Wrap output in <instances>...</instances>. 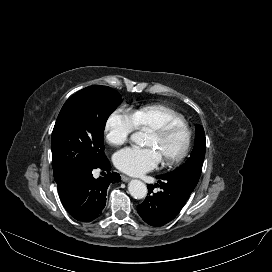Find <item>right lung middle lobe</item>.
Here are the masks:
<instances>
[{"instance_id": "obj_1", "label": "right lung middle lobe", "mask_w": 272, "mask_h": 272, "mask_svg": "<svg viewBox=\"0 0 272 272\" xmlns=\"http://www.w3.org/2000/svg\"><path fill=\"white\" fill-rule=\"evenodd\" d=\"M121 102L117 91L101 85L84 88L65 102L52 132L54 179H68L107 159L104 128Z\"/></svg>"}]
</instances>
